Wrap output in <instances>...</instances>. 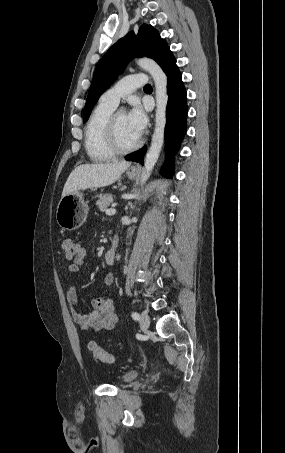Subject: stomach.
Segmentation results:
<instances>
[{
    "instance_id": "0dacf381",
    "label": "stomach",
    "mask_w": 285,
    "mask_h": 453,
    "mask_svg": "<svg viewBox=\"0 0 285 453\" xmlns=\"http://www.w3.org/2000/svg\"><path fill=\"white\" fill-rule=\"evenodd\" d=\"M126 174L130 179H134L138 171L131 168L127 170ZM87 215L88 205L80 191L62 197L57 205L56 220L63 230L78 229L85 222Z\"/></svg>"
}]
</instances>
